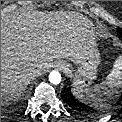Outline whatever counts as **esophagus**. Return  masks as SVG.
Wrapping results in <instances>:
<instances>
[{
    "mask_svg": "<svg viewBox=\"0 0 122 122\" xmlns=\"http://www.w3.org/2000/svg\"><path fill=\"white\" fill-rule=\"evenodd\" d=\"M56 67H57L58 69H60V70H62V69L64 68L63 64H61V63H57V64H56Z\"/></svg>",
    "mask_w": 122,
    "mask_h": 122,
    "instance_id": "obj_1",
    "label": "esophagus"
}]
</instances>
